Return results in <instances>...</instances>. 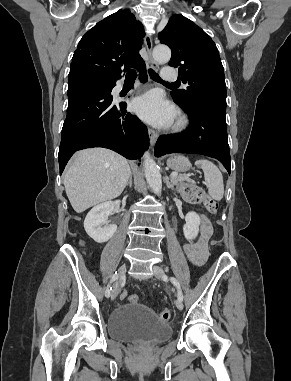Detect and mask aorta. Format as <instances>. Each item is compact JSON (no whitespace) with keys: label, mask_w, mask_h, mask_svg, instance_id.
Segmentation results:
<instances>
[{"label":"aorta","mask_w":291,"mask_h":381,"mask_svg":"<svg viewBox=\"0 0 291 381\" xmlns=\"http://www.w3.org/2000/svg\"><path fill=\"white\" fill-rule=\"evenodd\" d=\"M153 58L158 64L167 63L171 58L170 48L166 45H157L153 49ZM143 166L147 183L155 194H159L162 189L161 174L159 167L148 151L144 153Z\"/></svg>","instance_id":"1"}]
</instances>
